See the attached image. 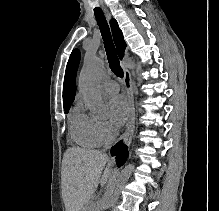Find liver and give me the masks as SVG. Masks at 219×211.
Returning <instances> with one entry per match:
<instances>
[{
	"instance_id": "1",
	"label": "liver",
	"mask_w": 219,
	"mask_h": 211,
	"mask_svg": "<svg viewBox=\"0 0 219 211\" xmlns=\"http://www.w3.org/2000/svg\"><path fill=\"white\" fill-rule=\"evenodd\" d=\"M107 153L83 147H69L63 157L62 185L66 211H82L98 183L110 177ZM102 169H104L102 173Z\"/></svg>"
}]
</instances>
